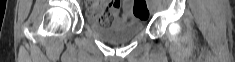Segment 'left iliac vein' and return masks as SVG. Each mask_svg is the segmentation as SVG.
Instances as JSON below:
<instances>
[{
  "mask_svg": "<svg viewBox=\"0 0 235 62\" xmlns=\"http://www.w3.org/2000/svg\"><path fill=\"white\" fill-rule=\"evenodd\" d=\"M155 8H156L155 4L149 3V9H150L151 12L154 11Z\"/></svg>",
  "mask_w": 235,
  "mask_h": 62,
  "instance_id": "obj_1",
  "label": "left iliac vein"
}]
</instances>
